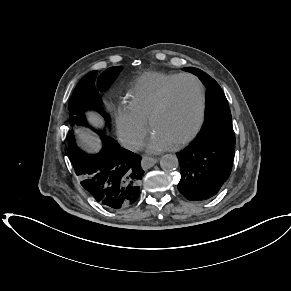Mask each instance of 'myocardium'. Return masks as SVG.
Returning <instances> with one entry per match:
<instances>
[{
  "mask_svg": "<svg viewBox=\"0 0 291 291\" xmlns=\"http://www.w3.org/2000/svg\"><path fill=\"white\" fill-rule=\"evenodd\" d=\"M185 79H190V80L194 81L198 87V91H199L198 119H197L196 125L194 126L192 131L187 136H185L181 140L177 141L176 143L172 144L173 148L182 147V146L186 145L187 143H189L190 141H192L197 136V134L200 132V130L203 126L204 119H205V112H206V94H205V89H204L202 82L196 76L191 75V74L179 75L173 82H171L165 88V90L162 93V96L160 98L159 103L157 104L155 109L151 112L149 119H148L149 126H150L151 130H153L155 120L157 119V117L160 114H162L164 112V110L167 108V106L169 104V99H170V95H171L172 91L175 89V87L181 81H183Z\"/></svg>",
  "mask_w": 291,
  "mask_h": 291,
  "instance_id": "f54148a6",
  "label": "myocardium"
}]
</instances>
